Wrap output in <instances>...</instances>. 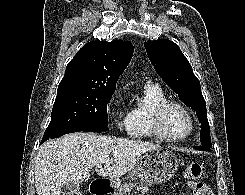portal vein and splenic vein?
<instances>
[{"label":"portal vein and splenic vein","instance_id":"1","mask_svg":"<svg viewBox=\"0 0 245 195\" xmlns=\"http://www.w3.org/2000/svg\"><path fill=\"white\" fill-rule=\"evenodd\" d=\"M96 169H101L102 168V165L98 164L95 166Z\"/></svg>","mask_w":245,"mask_h":195}]
</instances>
